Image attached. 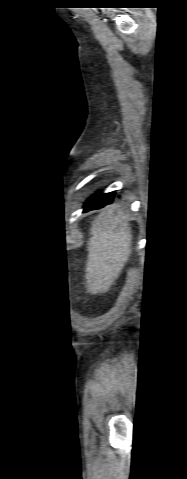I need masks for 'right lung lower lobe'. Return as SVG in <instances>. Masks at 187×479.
Segmentation results:
<instances>
[{
  "instance_id": "obj_1",
  "label": "right lung lower lobe",
  "mask_w": 187,
  "mask_h": 479,
  "mask_svg": "<svg viewBox=\"0 0 187 479\" xmlns=\"http://www.w3.org/2000/svg\"><path fill=\"white\" fill-rule=\"evenodd\" d=\"M114 199V193L99 194L90 198L85 204V211L98 209L104 207L106 204H111Z\"/></svg>"
}]
</instances>
